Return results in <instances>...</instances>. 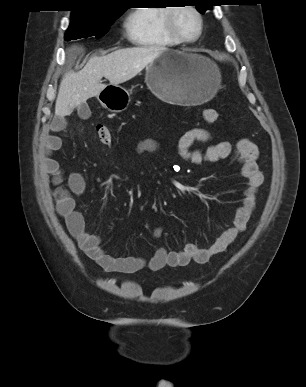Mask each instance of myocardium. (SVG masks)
<instances>
[{"mask_svg": "<svg viewBox=\"0 0 306 387\" xmlns=\"http://www.w3.org/2000/svg\"><path fill=\"white\" fill-rule=\"evenodd\" d=\"M180 9H188V10L192 11L198 19V23H199L198 32H197L196 36L193 38H187V37L183 36L176 27L175 15H176L177 11ZM165 26H166V30H167L168 34L174 40L178 41L179 43L190 44V43H194V42L198 41L199 38L201 37V35L203 33V29H204V19H203V15L200 12V10L193 5L172 6L167 11V14L165 17Z\"/></svg>", "mask_w": 306, "mask_h": 387, "instance_id": "1", "label": "myocardium"}]
</instances>
